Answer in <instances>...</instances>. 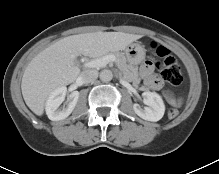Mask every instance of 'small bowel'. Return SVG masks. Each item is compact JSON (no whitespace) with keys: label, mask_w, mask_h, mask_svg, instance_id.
<instances>
[{"label":"small bowel","mask_w":219,"mask_h":174,"mask_svg":"<svg viewBox=\"0 0 219 174\" xmlns=\"http://www.w3.org/2000/svg\"><path fill=\"white\" fill-rule=\"evenodd\" d=\"M141 76L144 78L147 86L154 90L162 88L163 84L160 78L154 72V65L151 61L147 60L143 63L140 69ZM168 102L171 105L177 106L181 103V100L176 97L167 96Z\"/></svg>","instance_id":"1"}]
</instances>
